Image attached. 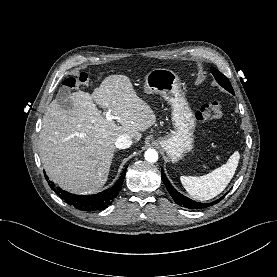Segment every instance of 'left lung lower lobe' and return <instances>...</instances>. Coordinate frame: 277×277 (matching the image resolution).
I'll return each mask as SVG.
<instances>
[{
	"mask_svg": "<svg viewBox=\"0 0 277 277\" xmlns=\"http://www.w3.org/2000/svg\"><path fill=\"white\" fill-rule=\"evenodd\" d=\"M161 173H162L163 183L165 184L168 192L172 196V198L175 201V203H177L180 206L186 207L188 209H204V208L210 207V206L218 203L222 198L225 197V195H224L220 199H217L216 201L211 202V203H199V202H195V201L187 198L186 196H183L178 191H176V189L173 188L172 185L170 184V182L168 181V179L165 176L163 170H161Z\"/></svg>",
	"mask_w": 277,
	"mask_h": 277,
	"instance_id": "0a47b994",
	"label": "left lung lower lobe"
}]
</instances>
